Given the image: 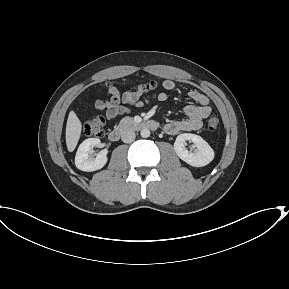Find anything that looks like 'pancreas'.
<instances>
[{"label":"pancreas","instance_id":"pancreas-1","mask_svg":"<svg viewBox=\"0 0 289 289\" xmlns=\"http://www.w3.org/2000/svg\"><path fill=\"white\" fill-rule=\"evenodd\" d=\"M124 120H128V121H130V120H131V118H130V117H127V118H125ZM124 120H123V121H124Z\"/></svg>","mask_w":289,"mask_h":289}]
</instances>
